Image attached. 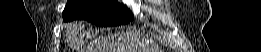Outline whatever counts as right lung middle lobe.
I'll return each mask as SVG.
<instances>
[{"mask_svg":"<svg viewBox=\"0 0 261 52\" xmlns=\"http://www.w3.org/2000/svg\"><path fill=\"white\" fill-rule=\"evenodd\" d=\"M63 20L84 19L97 26L127 24L133 19L132 12L116 0H68Z\"/></svg>","mask_w":261,"mask_h":52,"instance_id":"obj_1","label":"right lung middle lobe"}]
</instances>
